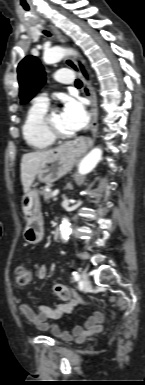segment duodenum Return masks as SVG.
Segmentation results:
<instances>
[{
	"label": "duodenum",
	"mask_w": 145,
	"mask_h": 385,
	"mask_svg": "<svg viewBox=\"0 0 145 385\" xmlns=\"http://www.w3.org/2000/svg\"><path fill=\"white\" fill-rule=\"evenodd\" d=\"M59 236H60V227L57 226L54 230H53V239L55 241H57L59 239Z\"/></svg>",
	"instance_id": "410a0bca"
}]
</instances>
